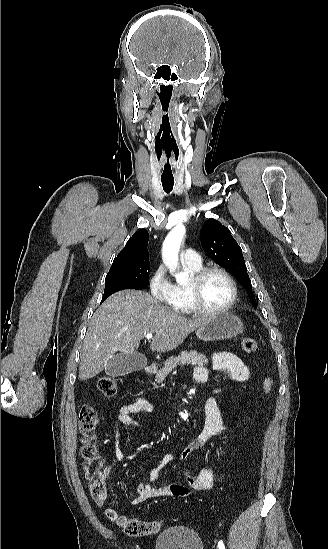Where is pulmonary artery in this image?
Returning <instances> with one entry per match:
<instances>
[{"label": "pulmonary artery", "instance_id": "pulmonary-artery-1", "mask_svg": "<svg viewBox=\"0 0 328 549\" xmlns=\"http://www.w3.org/2000/svg\"><path fill=\"white\" fill-rule=\"evenodd\" d=\"M181 258L184 261H198L199 254L194 249L187 248L182 251Z\"/></svg>", "mask_w": 328, "mask_h": 549}]
</instances>
